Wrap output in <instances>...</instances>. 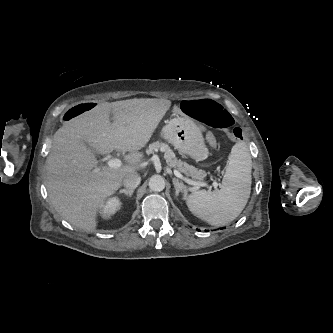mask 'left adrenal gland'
I'll return each instance as SVG.
<instances>
[{
  "label": "left adrenal gland",
  "instance_id": "a2214340",
  "mask_svg": "<svg viewBox=\"0 0 333 333\" xmlns=\"http://www.w3.org/2000/svg\"><path fill=\"white\" fill-rule=\"evenodd\" d=\"M172 182H173L174 188L176 190V196H178L179 193L181 192V193H184L183 199H185V196L188 192L187 187L182 182H179V180L177 178H173Z\"/></svg>",
  "mask_w": 333,
  "mask_h": 333
}]
</instances>
